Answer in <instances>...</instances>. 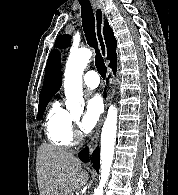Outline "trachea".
<instances>
[{
	"instance_id": "3493384b",
	"label": "trachea",
	"mask_w": 178,
	"mask_h": 195,
	"mask_svg": "<svg viewBox=\"0 0 178 195\" xmlns=\"http://www.w3.org/2000/svg\"><path fill=\"white\" fill-rule=\"evenodd\" d=\"M81 6L82 26L87 43L95 49V65L98 73L103 79L106 77L107 68L98 49V42L95 33V17L89 0H78Z\"/></svg>"
}]
</instances>
